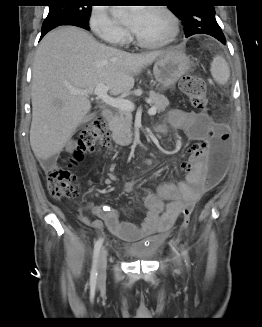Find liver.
<instances>
[{
    "label": "liver",
    "instance_id": "obj_1",
    "mask_svg": "<svg viewBox=\"0 0 262 327\" xmlns=\"http://www.w3.org/2000/svg\"><path fill=\"white\" fill-rule=\"evenodd\" d=\"M165 54H131L108 47L73 26L48 33L37 48L32 73L30 145L38 160L60 153L89 113L87 95L72 90L104 84L112 95L129 93L134 74Z\"/></svg>",
    "mask_w": 262,
    "mask_h": 327
}]
</instances>
